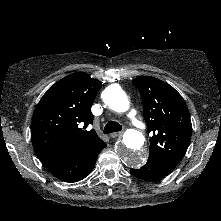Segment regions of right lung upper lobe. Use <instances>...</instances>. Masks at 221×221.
<instances>
[{
    "instance_id": "obj_1",
    "label": "right lung upper lobe",
    "mask_w": 221,
    "mask_h": 221,
    "mask_svg": "<svg viewBox=\"0 0 221 221\" xmlns=\"http://www.w3.org/2000/svg\"><path fill=\"white\" fill-rule=\"evenodd\" d=\"M102 83L76 72L55 83L41 98L32 118L31 140L43 164L66 159L102 141L93 124L91 106Z\"/></svg>"
}]
</instances>
